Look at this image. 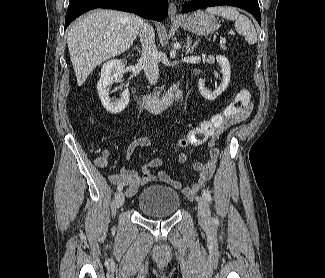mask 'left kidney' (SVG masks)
Returning a JSON list of instances; mask_svg holds the SVG:
<instances>
[{
    "label": "left kidney",
    "mask_w": 325,
    "mask_h": 278,
    "mask_svg": "<svg viewBox=\"0 0 325 278\" xmlns=\"http://www.w3.org/2000/svg\"><path fill=\"white\" fill-rule=\"evenodd\" d=\"M216 60L221 67V72H222L221 84L214 91H211V90L205 88V83H204L203 79H200L199 83H198L199 91H200L201 95L205 99L210 100V101L215 100L220 94H222L226 90V88L230 82L231 69H230V64H229L228 59L224 56L218 55L216 57Z\"/></svg>",
    "instance_id": "1"
}]
</instances>
